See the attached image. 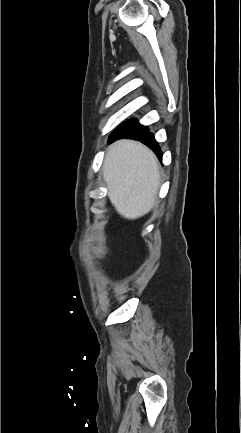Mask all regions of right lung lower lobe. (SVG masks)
<instances>
[{
  "mask_svg": "<svg viewBox=\"0 0 241 433\" xmlns=\"http://www.w3.org/2000/svg\"><path fill=\"white\" fill-rule=\"evenodd\" d=\"M120 138H129L141 141L149 148H151L161 160V149L155 141L153 133L149 131L148 127L140 125L137 121L133 125H131L126 131L119 134L111 135L109 137V143Z\"/></svg>",
  "mask_w": 241,
  "mask_h": 433,
  "instance_id": "98d812e1",
  "label": "right lung lower lobe"
}]
</instances>
